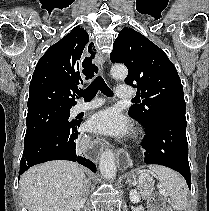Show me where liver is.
Listing matches in <instances>:
<instances>
[{"label": "liver", "instance_id": "liver-1", "mask_svg": "<svg viewBox=\"0 0 209 211\" xmlns=\"http://www.w3.org/2000/svg\"><path fill=\"white\" fill-rule=\"evenodd\" d=\"M84 170L76 163L55 160L27 170L20 194L28 211H73L82 199Z\"/></svg>", "mask_w": 209, "mask_h": 211}]
</instances>
